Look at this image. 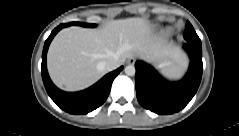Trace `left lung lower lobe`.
<instances>
[{"label": "left lung lower lobe", "mask_w": 239, "mask_h": 136, "mask_svg": "<svg viewBox=\"0 0 239 136\" xmlns=\"http://www.w3.org/2000/svg\"><path fill=\"white\" fill-rule=\"evenodd\" d=\"M183 48L189 54L190 66L178 82L166 81L142 61L135 63L136 96L144 108L157 114H172L183 109L197 92L203 72L202 47L187 42Z\"/></svg>", "instance_id": "obj_1"}]
</instances>
